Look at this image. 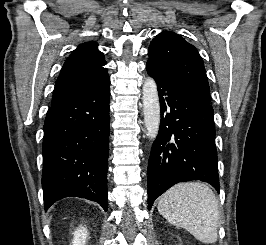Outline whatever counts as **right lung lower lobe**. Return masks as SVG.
<instances>
[{
    "label": "right lung lower lobe",
    "instance_id": "1",
    "mask_svg": "<svg viewBox=\"0 0 266 245\" xmlns=\"http://www.w3.org/2000/svg\"><path fill=\"white\" fill-rule=\"evenodd\" d=\"M109 85L81 88L49 108L43 139L45 211L65 197L96 201L107 210Z\"/></svg>",
    "mask_w": 266,
    "mask_h": 245
}]
</instances>
